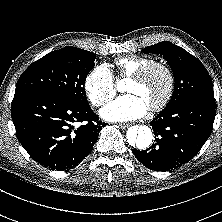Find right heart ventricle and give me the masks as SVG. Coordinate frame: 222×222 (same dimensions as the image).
<instances>
[{
  "mask_svg": "<svg viewBox=\"0 0 222 222\" xmlns=\"http://www.w3.org/2000/svg\"><path fill=\"white\" fill-rule=\"evenodd\" d=\"M152 62H154V60L148 57L127 56L117 59L115 61V66L120 77L128 78L140 68Z\"/></svg>",
  "mask_w": 222,
  "mask_h": 222,
  "instance_id": "1",
  "label": "right heart ventricle"
}]
</instances>
